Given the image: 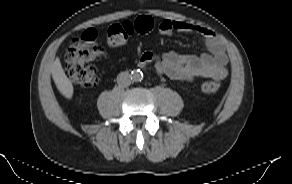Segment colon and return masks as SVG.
Masks as SVG:
<instances>
[{
    "mask_svg": "<svg viewBox=\"0 0 292 184\" xmlns=\"http://www.w3.org/2000/svg\"><path fill=\"white\" fill-rule=\"evenodd\" d=\"M155 29V23L149 16H141L135 21L112 24L107 31L110 46L123 45L132 33L148 34ZM101 48L97 44V33L89 29L76 38L65 53V73L75 84L91 88L97 83V72L91 63ZM205 93H214L220 89L217 81H205L202 86Z\"/></svg>",
    "mask_w": 292,
    "mask_h": 184,
    "instance_id": "colon-1",
    "label": "colon"
}]
</instances>
